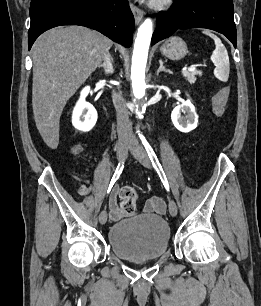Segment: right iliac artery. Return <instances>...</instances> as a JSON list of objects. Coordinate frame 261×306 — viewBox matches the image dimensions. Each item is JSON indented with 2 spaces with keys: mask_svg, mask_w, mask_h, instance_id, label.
Here are the masks:
<instances>
[{
  "mask_svg": "<svg viewBox=\"0 0 261 306\" xmlns=\"http://www.w3.org/2000/svg\"><path fill=\"white\" fill-rule=\"evenodd\" d=\"M123 167H124V162L118 164V166H117V168H116V170H115V173H114V175H113V177H112V179H111V182H110V184H109V187H108V190H107V193H108V194H109V192L111 191V189H112L114 183L119 179L120 174H121V172H122V170H123Z\"/></svg>",
  "mask_w": 261,
  "mask_h": 306,
  "instance_id": "82829eb1",
  "label": "right iliac artery"
}]
</instances>
